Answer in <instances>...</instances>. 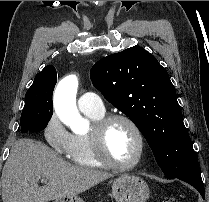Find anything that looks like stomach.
<instances>
[{
	"label": "stomach",
	"instance_id": "stomach-1",
	"mask_svg": "<svg viewBox=\"0 0 209 202\" xmlns=\"http://www.w3.org/2000/svg\"><path fill=\"white\" fill-rule=\"evenodd\" d=\"M116 202H146L150 195L148 184L138 176L123 174L112 186ZM55 202H84L80 197H64Z\"/></svg>",
	"mask_w": 209,
	"mask_h": 202
}]
</instances>
